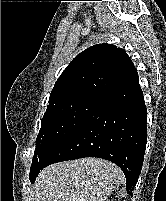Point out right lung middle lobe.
<instances>
[{
    "mask_svg": "<svg viewBox=\"0 0 166 201\" xmlns=\"http://www.w3.org/2000/svg\"><path fill=\"white\" fill-rule=\"evenodd\" d=\"M104 96L84 95L47 108L41 120L29 178L47 162L55 149L97 108Z\"/></svg>",
    "mask_w": 166,
    "mask_h": 201,
    "instance_id": "obj_1",
    "label": "right lung middle lobe"
}]
</instances>
